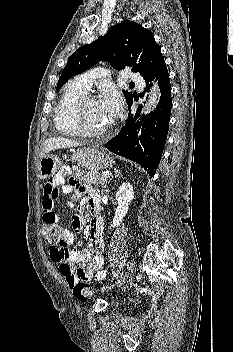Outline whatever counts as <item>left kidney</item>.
<instances>
[{
  "instance_id": "left-kidney-1",
  "label": "left kidney",
  "mask_w": 233,
  "mask_h": 352,
  "mask_svg": "<svg viewBox=\"0 0 233 352\" xmlns=\"http://www.w3.org/2000/svg\"><path fill=\"white\" fill-rule=\"evenodd\" d=\"M116 200L118 201V207L113 218V223L111 228L118 227L122 222L123 218L126 216L129 205L134 198L133 187L130 183H123L115 194Z\"/></svg>"
}]
</instances>
